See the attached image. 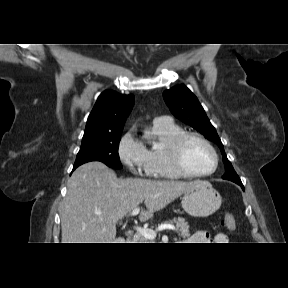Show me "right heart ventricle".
<instances>
[{
    "mask_svg": "<svg viewBox=\"0 0 288 288\" xmlns=\"http://www.w3.org/2000/svg\"><path fill=\"white\" fill-rule=\"evenodd\" d=\"M182 132L183 129L172 121L153 123L151 135L157 139V144L147 149V169L150 176L165 179L184 177L174 169L168 156L170 143Z\"/></svg>",
    "mask_w": 288,
    "mask_h": 288,
    "instance_id": "e07e8e85",
    "label": "right heart ventricle"
}]
</instances>
